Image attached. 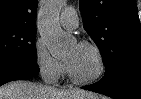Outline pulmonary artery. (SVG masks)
I'll return each instance as SVG.
<instances>
[{"label": "pulmonary artery", "instance_id": "1", "mask_svg": "<svg viewBox=\"0 0 141 99\" xmlns=\"http://www.w3.org/2000/svg\"><path fill=\"white\" fill-rule=\"evenodd\" d=\"M78 16L74 8L68 7L60 16V24L65 29H75L78 26Z\"/></svg>", "mask_w": 141, "mask_h": 99}]
</instances>
